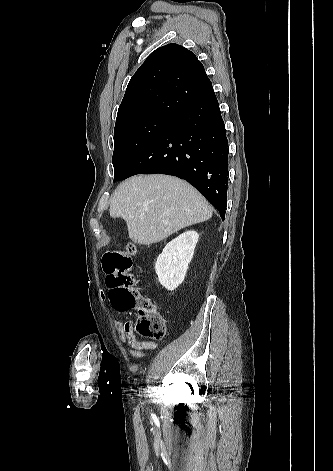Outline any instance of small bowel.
I'll return each mask as SVG.
<instances>
[{"label":"small bowel","instance_id":"1","mask_svg":"<svg viewBox=\"0 0 333 471\" xmlns=\"http://www.w3.org/2000/svg\"><path fill=\"white\" fill-rule=\"evenodd\" d=\"M114 327L118 332L119 341L122 343L128 342L130 348L128 352L134 357H141L146 350H153L157 344L153 341L140 340L137 338L134 332L133 322L128 320L122 322L120 320H114Z\"/></svg>","mask_w":333,"mask_h":471}]
</instances>
